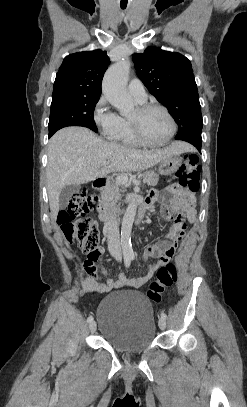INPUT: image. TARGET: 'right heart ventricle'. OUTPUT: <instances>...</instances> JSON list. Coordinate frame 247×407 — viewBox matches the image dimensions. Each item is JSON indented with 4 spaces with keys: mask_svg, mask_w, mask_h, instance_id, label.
I'll return each instance as SVG.
<instances>
[{
    "mask_svg": "<svg viewBox=\"0 0 247 407\" xmlns=\"http://www.w3.org/2000/svg\"><path fill=\"white\" fill-rule=\"evenodd\" d=\"M113 140L122 145L130 147H136L140 145L132 134L129 119L123 117H121L120 126L115 136L113 137Z\"/></svg>",
    "mask_w": 247,
    "mask_h": 407,
    "instance_id": "right-heart-ventricle-1",
    "label": "right heart ventricle"
}]
</instances>
